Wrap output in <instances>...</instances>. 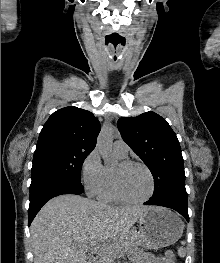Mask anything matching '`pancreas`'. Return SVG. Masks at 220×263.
I'll use <instances>...</instances> for the list:
<instances>
[{
	"label": "pancreas",
	"instance_id": "pancreas-1",
	"mask_svg": "<svg viewBox=\"0 0 220 263\" xmlns=\"http://www.w3.org/2000/svg\"><path fill=\"white\" fill-rule=\"evenodd\" d=\"M142 245L140 239V232L132 230L126 233L121 239V243L117 246L121 252H127L136 246ZM116 248H111L110 250L104 252L103 258H100L96 263H108V260L115 254Z\"/></svg>",
	"mask_w": 220,
	"mask_h": 263
}]
</instances>
